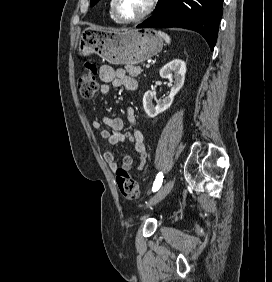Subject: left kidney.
I'll return each mask as SVG.
<instances>
[{
    "mask_svg": "<svg viewBox=\"0 0 272 282\" xmlns=\"http://www.w3.org/2000/svg\"><path fill=\"white\" fill-rule=\"evenodd\" d=\"M186 74V64L180 59H174L164 65L160 70L161 78L168 79L172 85L169 95L163 99L156 100V105L152 103L155 99V92L147 91L143 97V107L150 118L166 111L172 104L175 95L180 91L184 84Z\"/></svg>",
    "mask_w": 272,
    "mask_h": 282,
    "instance_id": "1",
    "label": "left kidney"
}]
</instances>
